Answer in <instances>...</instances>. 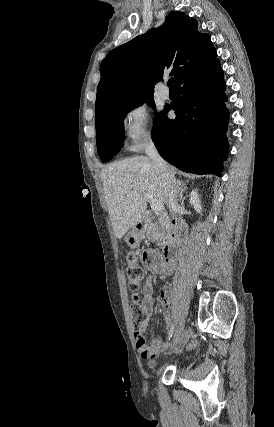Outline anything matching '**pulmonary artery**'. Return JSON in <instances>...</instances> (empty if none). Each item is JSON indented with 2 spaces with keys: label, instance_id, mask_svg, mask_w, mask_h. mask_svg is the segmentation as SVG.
<instances>
[{
  "label": "pulmonary artery",
  "instance_id": "1",
  "mask_svg": "<svg viewBox=\"0 0 274 427\" xmlns=\"http://www.w3.org/2000/svg\"><path fill=\"white\" fill-rule=\"evenodd\" d=\"M159 96L162 100H167L170 96V91L168 87L162 84L158 89Z\"/></svg>",
  "mask_w": 274,
  "mask_h": 427
}]
</instances>
